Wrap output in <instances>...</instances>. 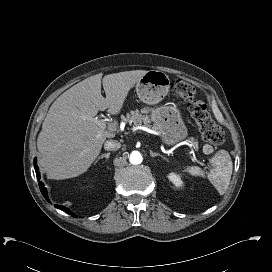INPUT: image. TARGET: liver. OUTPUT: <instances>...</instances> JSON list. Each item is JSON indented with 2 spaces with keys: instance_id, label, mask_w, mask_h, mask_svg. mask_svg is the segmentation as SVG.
Masks as SVG:
<instances>
[{
  "instance_id": "obj_1",
  "label": "liver",
  "mask_w": 272,
  "mask_h": 272,
  "mask_svg": "<svg viewBox=\"0 0 272 272\" xmlns=\"http://www.w3.org/2000/svg\"><path fill=\"white\" fill-rule=\"evenodd\" d=\"M147 71L96 74L72 86L51 105L38 135L39 164L50 179L76 177L88 170L107 138H114L117 122L100 127L95 116L108 109L117 115L137 81ZM101 79L106 98L101 95Z\"/></svg>"
}]
</instances>
